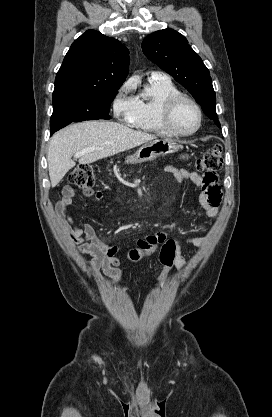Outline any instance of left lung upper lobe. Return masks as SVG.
<instances>
[{
    "label": "left lung upper lobe",
    "instance_id": "5c2ea615",
    "mask_svg": "<svg viewBox=\"0 0 272 417\" xmlns=\"http://www.w3.org/2000/svg\"><path fill=\"white\" fill-rule=\"evenodd\" d=\"M142 50L151 61L183 85L206 116L220 127L210 73L183 35L173 29L156 31L143 40Z\"/></svg>",
    "mask_w": 272,
    "mask_h": 417
}]
</instances>
